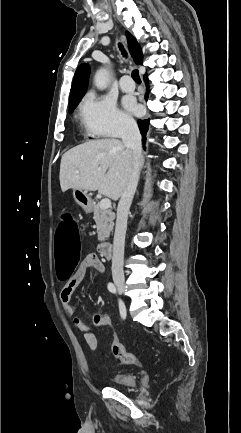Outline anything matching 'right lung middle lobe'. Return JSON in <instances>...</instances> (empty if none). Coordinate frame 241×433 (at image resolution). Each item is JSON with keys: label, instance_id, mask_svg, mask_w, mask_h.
I'll return each instance as SVG.
<instances>
[{"label": "right lung middle lobe", "instance_id": "obj_1", "mask_svg": "<svg viewBox=\"0 0 241 433\" xmlns=\"http://www.w3.org/2000/svg\"><path fill=\"white\" fill-rule=\"evenodd\" d=\"M77 105H78V103L76 105H74L73 107L69 108V113L73 112V110L76 108Z\"/></svg>", "mask_w": 241, "mask_h": 433}]
</instances>
